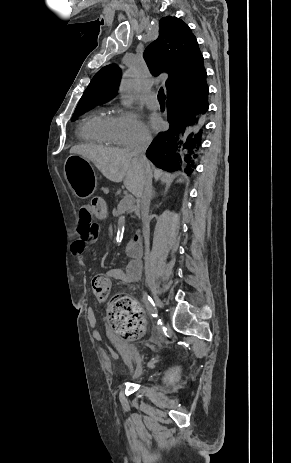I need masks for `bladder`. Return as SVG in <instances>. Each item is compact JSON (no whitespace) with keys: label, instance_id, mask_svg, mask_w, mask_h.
I'll return each instance as SVG.
<instances>
[{"label":"bladder","instance_id":"bladder-1","mask_svg":"<svg viewBox=\"0 0 291 463\" xmlns=\"http://www.w3.org/2000/svg\"><path fill=\"white\" fill-rule=\"evenodd\" d=\"M117 345L116 349L120 357L129 365L133 366L136 362V346L131 342V340H116Z\"/></svg>","mask_w":291,"mask_h":463}]
</instances>
